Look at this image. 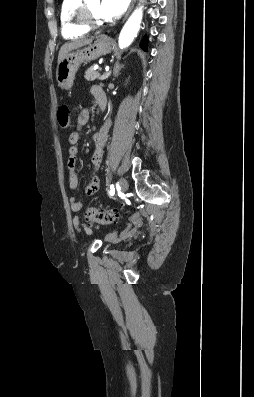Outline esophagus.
<instances>
[{
	"mask_svg": "<svg viewBox=\"0 0 254 397\" xmlns=\"http://www.w3.org/2000/svg\"><path fill=\"white\" fill-rule=\"evenodd\" d=\"M135 2H136V0H132V2H131V4H130V6H129V9H128V11H127V13H126V15H125L123 21H125V20L127 19V17L129 16V14L131 13V11H132V9H133V7H134Z\"/></svg>",
	"mask_w": 254,
	"mask_h": 397,
	"instance_id": "1",
	"label": "esophagus"
}]
</instances>
